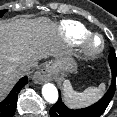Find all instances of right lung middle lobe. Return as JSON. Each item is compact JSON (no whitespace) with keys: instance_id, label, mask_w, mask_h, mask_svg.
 Listing matches in <instances>:
<instances>
[{"instance_id":"obj_1","label":"right lung middle lobe","mask_w":117,"mask_h":117,"mask_svg":"<svg viewBox=\"0 0 117 117\" xmlns=\"http://www.w3.org/2000/svg\"><path fill=\"white\" fill-rule=\"evenodd\" d=\"M5 12H7V10H0V17H2Z\"/></svg>"}]
</instances>
